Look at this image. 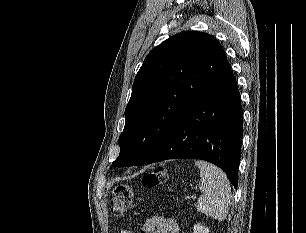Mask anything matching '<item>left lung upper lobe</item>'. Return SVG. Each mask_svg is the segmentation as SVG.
<instances>
[{
  "label": "left lung upper lobe",
  "instance_id": "5c2ea615",
  "mask_svg": "<svg viewBox=\"0 0 306 233\" xmlns=\"http://www.w3.org/2000/svg\"><path fill=\"white\" fill-rule=\"evenodd\" d=\"M226 62L218 40L202 32H181L153 48L135 77L112 165H144Z\"/></svg>",
  "mask_w": 306,
  "mask_h": 233
}]
</instances>
